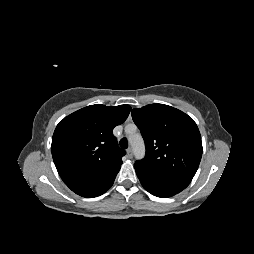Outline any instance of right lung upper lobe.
Returning a JSON list of instances; mask_svg holds the SVG:
<instances>
[{
	"instance_id": "1",
	"label": "right lung upper lobe",
	"mask_w": 254,
	"mask_h": 254,
	"mask_svg": "<svg viewBox=\"0 0 254 254\" xmlns=\"http://www.w3.org/2000/svg\"><path fill=\"white\" fill-rule=\"evenodd\" d=\"M130 110L129 105L96 104L60 121L52 137L51 152L66 184L121 167L125 151L119 148L112 132L127 119Z\"/></svg>"
}]
</instances>
